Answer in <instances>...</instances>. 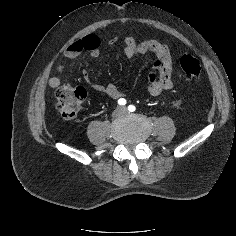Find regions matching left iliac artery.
Here are the masks:
<instances>
[{"instance_id": "obj_1", "label": "left iliac artery", "mask_w": 236, "mask_h": 236, "mask_svg": "<svg viewBox=\"0 0 236 236\" xmlns=\"http://www.w3.org/2000/svg\"><path fill=\"white\" fill-rule=\"evenodd\" d=\"M128 110H129L130 112H134V111L136 110V108H135L134 105H129V106H128Z\"/></svg>"}]
</instances>
